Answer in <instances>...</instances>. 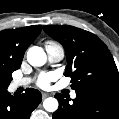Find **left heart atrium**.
Masks as SVG:
<instances>
[{"label": "left heart atrium", "mask_w": 119, "mask_h": 119, "mask_svg": "<svg viewBox=\"0 0 119 119\" xmlns=\"http://www.w3.org/2000/svg\"><path fill=\"white\" fill-rule=\"evenodd\" d=\"M54 76L52 74H44L39 78V86L46 88L49 86V83L53 80Z\"/></svg>", "instance_id": "39dd6f15"}]
</instances>
